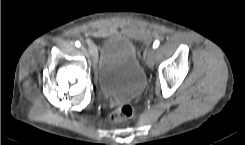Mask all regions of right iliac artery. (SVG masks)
I'll list each match as a JSON object with an SVG mask.
<instances>
[{
	"label": "right iliac artery",
	"instance_id": "82829eb1",
	"mask_svg": "<svg viewBox=\"0 0 245 145\" xmlns=\"http://www.w3.org/2000/svg\"><path fill=\"white\" fill-rule=\"evenodd\" d=\"M75 45H76V47H80L81 44H80L79 41H76V42H75Z\"/></svg>",
	"mask_w": 245,
	"mask_h": 145
}]
</instances>
